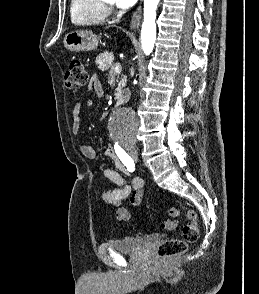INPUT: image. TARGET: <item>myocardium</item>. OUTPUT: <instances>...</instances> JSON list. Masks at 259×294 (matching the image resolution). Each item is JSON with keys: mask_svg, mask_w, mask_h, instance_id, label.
Masks as SVG:
<instances>
[{"mask_svg": "<svg viewBox=\"0 0 259 294\" xmlns=\"http://www.w3.org/2000/svg\"><path fill=\"white\" fill-rule=\"evenodd\" d=\"M101 1H102L103 5L105 6L106 9L110 8L111 3L108 0H101Z\"/></svg>", "mask_w": 259, "mask_h": 294, "instance_id": "obj_1", "label": "myocardium"}]
</instances>
